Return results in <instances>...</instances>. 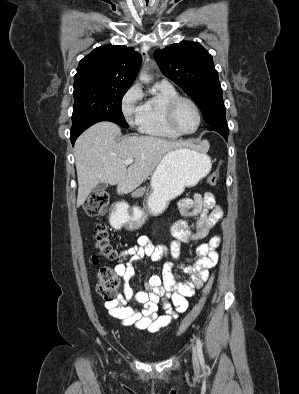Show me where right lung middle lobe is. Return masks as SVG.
<instances>
[{
  "label": "right lung middle lobe",
  "instance_id": "1",
  "mask_svg": "<svg viewBox=\"0 0 299 394\" xmlns=\"http://www.w3.org/2000/svg\"><path fill=\"white\" fill-rule=\"evenodd\" d=\"M128 88L87 86L74 88L72 126L100 121H111L122 127L128 124L121 110V102Z\"/></svg>",
  "mask_w": 299,
  "mask_h": 394
}]
</instances>
